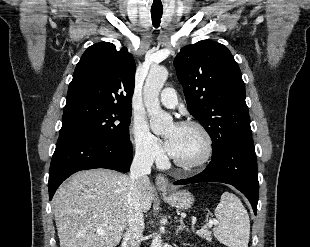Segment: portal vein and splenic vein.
Wrapping results in <instances>:
<instances>
[{
  "instance_id": "obj_1",
  "label": "portal vein and splenic vein",
  "mask_w": 310,
  "mask_h": 247,
  "mask_svg": "<svg viewBox=\"0 0 310 247\" xmlns=\"http://www.w3.org/2000/svg\"><path fill=\"white\" fill-rule=\"evenodd\" d=\"M217 223H218V222H217L216 220H210L209 223H208V227H212L213 225H216ZM202 231H203V230H199V231H197V233H200V232H202ZM97 233H98L99 235L105 234V232H104L103 230H98Z\"/></svg>"
}]
</instances>
